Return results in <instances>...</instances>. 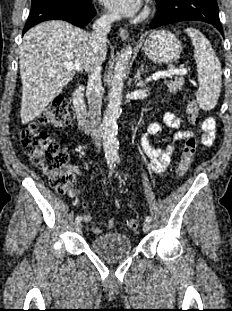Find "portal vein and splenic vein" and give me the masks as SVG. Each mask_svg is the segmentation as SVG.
<instances>
[{
	"label": "portal vein and splenic vein",
	"mask_w": 232,
	"mask_h": 311,
	"mask_svg": "<svg viewBox=\"0 0 232 311\" xmlns=\"http://www.w3.org/2000/svg\"><path fill=\"white\" fill-rule=\"evenodd\" d=\"M64 68L68 71L76 70V71H82V68L79 64L73 63V62H65L64 63ZM187 70L184 68L180 69H171L168 71H159L156 72L152 75V79L158 80L160 78H163L165 76H170V75H186Z\"/></svg>",
	"instance_id": "obj_1"
}]
</instances>
